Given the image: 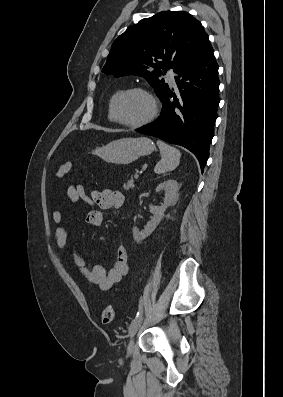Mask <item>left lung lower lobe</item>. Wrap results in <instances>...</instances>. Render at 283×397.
<instances>
[{
	"label": "left lung lower lobe",
	"instance_id": "obj_1",
	"mask_svg": "<svg viewBox=\"0 0 283 397\" xmlns=\"http://www.w3.org/2000/svg\"><path fill=\"white\" fill-rule=\"evenodd\" d=\"M175 81L178 94L168 89L160 98V117L136 131L187 148L197 157L203 171L220 101L218 64L212 46L183 66Z\"/></svg>",
	"mask_w": 283,
	"mask_h": 397
}]
</instances>
